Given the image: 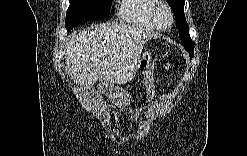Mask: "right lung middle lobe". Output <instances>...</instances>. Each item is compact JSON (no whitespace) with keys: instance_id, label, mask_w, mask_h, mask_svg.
I'll use <instances>...</instances> for the list:
<instances>
[{"instance_id":"dd1d6c3e","label":"right lung middle lobe","mask_w":247,"mask_h":156,"mask_svg":"<svg viewBox=\"0 0 247 156\" xmlns=\"http://www.w3.org/2000/svg\"><path fill=\"white\" fill-rule=\"evenodd\" d=\"M65 27L70 31L74 26L90 20L105 18L110 13L111 0H69Z\"/></svg>"}]
</instances>
